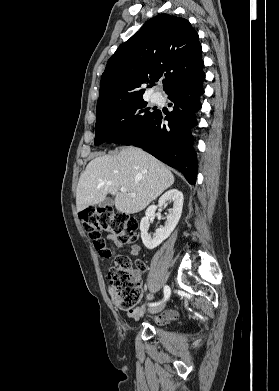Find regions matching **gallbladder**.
<instances>
[{
	"mask_svg": "<svg viewBox=\"0 0 279 391\" xmlns=\"http://www.w3.org/2000/svg\"><path fill=\"white\" fill-rule=\"evenodd\" d=\"M113 200L112 199H109V198H106L105 200H103L102 202H100L98 204V207H105L107 205H113Z\"/></svg>",
	"mask_w": 279,
	"mask_h": 391,
	"instance_id": "bac80fb5",
	"label": "gallbladder"
}]
</instances>
